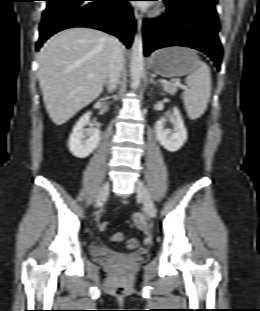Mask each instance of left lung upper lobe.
Segmentation results:
<instances>
[{
	"label": "left lung upper lobe",
	"instance_id": "left-lung-upper-lobe-1",
	"mask_svg": "<svg viewBox=\"0 0 260 311\" xmlns=\"http://www.w3.org/2000/svg\"><path fill=\"white\" fill-rule=\"evenodd\" d=\"M182 1H184V0H182ZM193 1L200 2L206 6L211 7L213 10H215V5H216L218 0H193Z\"/></svg>",
	"mask_w": 260,
	"mask_h": 311
}]
</instances>
